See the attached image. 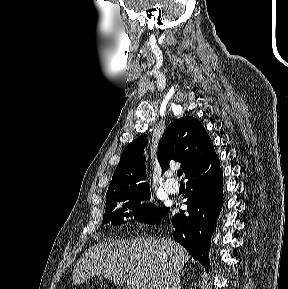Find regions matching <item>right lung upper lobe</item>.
<instances>
[{"mask_svg":"<svg viewBox=\"0 0 288 289\" xmlns=\"http://www.w3.org/2000/svg\"><path fill=\"white\" fill-rule=\"evenodd\" d=\"M146 135L131 142L123 151L107 192L149 187L146 180L144 147ZM215 153L203 125L193 117L173 121L158 143V160L163 172L171 160L181 162L187 176Z\"/></svg>","mask_w":288,"mask_h":289,"instance_id":"1","label":"right lung upper lobe"}]
</instances>
